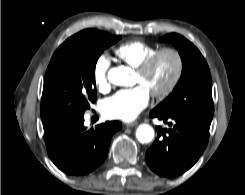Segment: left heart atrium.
<instances>
[{
  "label": "left heart atrium",
  "instance_id": "1",
  "mask_svg": "<svg viewBox=\"0 0 245 195\" xmlns=\"http://www.w3.org/2000/svg\"><path fill=\"white\" fill-rule=\"evenodd\" d=\"M150 93L142 86L122 89L103 100L101 111L109 119L132 121L146 108Z\"/></svg>",
  "mask_w": 245,
  "mask_h": 195
}]
</instances>
